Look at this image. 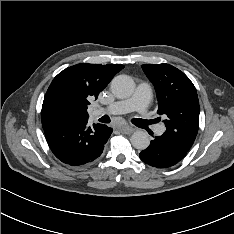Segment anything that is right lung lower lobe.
<instances>
[{
	"mask_svg": "<svg viewBox=\"0 0 234 234\" xmlns=\"http://www.w3.org/2000/svg\"><path fill=\"white\" fill-rule=\"evenodd\" d=\"M88 119H73L43 127L53 154L63 163L80 166L94 161L104 149L112 128L93 124Z\"/></svg>",
	"mask_w": 234,
	"mask_h": 234,
	"instance_id": "obj_1",
	"label": "right lung lower lobe"
}]
</instances>
